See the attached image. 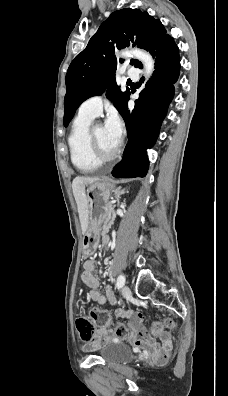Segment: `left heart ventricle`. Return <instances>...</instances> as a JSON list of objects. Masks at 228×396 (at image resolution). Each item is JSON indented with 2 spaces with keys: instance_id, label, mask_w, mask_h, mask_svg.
Wrapping results in <instances>:
<instances>
[{
  "instance_id": "obj_1",
  "label": "left heart ventricle",
  "mask_w": 228,
  "mask_h": 396,
  "mask_svg": "<svg viewBox=\"0 0 228 396\" xmlns=\"http://www.w3.org/2000/svg\"><path fill=\"white\" fill-rule=\"evenodd\" d=\"M95 137L100 151L105 155L113 153L118 146V142L110 136L104 125L96 126Z\"/></svg>"
}]
</instances>
